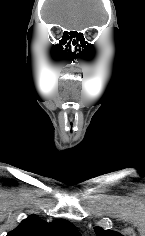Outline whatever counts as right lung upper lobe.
<instances>
[{
	"label": "right lung upper lobe",
	"instance_id": "cb5924a9",
	"mask_svg": "<svg viewBox=\"0 0 145 236\" xmlns=\"http://www.w3.org/2000/svg\"><path fill=\"white\" fill-rule=\"evenodd\" d=\"M7 236H81L74 225L69 221L57 219L47 223L39 217L32 215L23 220Z\"/></svg>",
	"mask_w": 145,
	"mask_h": 236
}]
</instances>
